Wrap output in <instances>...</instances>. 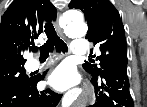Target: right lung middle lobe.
I'll return each mask as SVG.
<instances>
[{"instance_id":"obj_1","label":"right lung middle lobe","mask_w":147,"mask_h":107,"mask_svg":"<svg viewBox=\"0 0 147 107\" xmlns=\"http://www.w3.org/2000/svg\"><path fill=\"white\" fill-rule=\"evenodd\" d=\"M28 80L29 77L26 75L23 65L0 69V91L14 85L26 83Z\"/></svg>"}]
</instances>
